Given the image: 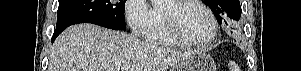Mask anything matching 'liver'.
I'll use <instances>...</instances> for the list:
<instances>
[{
	"label": "liver",
	"instance_id": "6515ba94",
	"mask_svg": "<svg viewBox=\"0 0 301 71\" xmlns=\"http://www.w3.org/2000/svg\"><path fill=\"white\" fill-rule=\"evenodd\" d=\"M188 54L93 24H77L55 40L48 71H167ZM125 65L128 70L121 69Z\"/></svg>",
	"mask_w": 301,
	"mask_h": 71
}]
</instances>
